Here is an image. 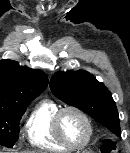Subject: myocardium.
<instances>
[{"label":"myocardium","instance_id":"1","mask_svg":"<svg viewBox=\"0 0 130 153\" xmlns=\"http://www.w3.org/2000/svg\"><path fill=\"white\" fill-rule=\"evenodd\" d=\"M75 112L77 113L86 123L87 128H88V134L87 137L85 139V141L82 144L79 145H74L71 142H69L65 136L63 135L62 131H61V119L62 116L66 113V112ZM53 130L54 133L57 137V139L67 148H69L70 150H81L84 149L91 141L92 136H93V125H92V121L90 119V117L88 116V114L82 110L81 108L74 106V105H68L65 107L60 108L56 114L54 115L53 118Z\"/></svg>","mask_w":130,"mask_h":153}]
</instances>
